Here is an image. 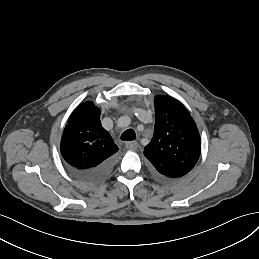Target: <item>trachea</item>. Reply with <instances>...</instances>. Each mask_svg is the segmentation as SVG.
I'll return each instance as SVG.
<instances>
[{
	"label": "trachea",
	"instance_id": "1",
	"mask_svg": "<svg viewBox=\"0 0 259 259\" xmlns=\"http://www.w3.org/2000/svg\"><path fill=\"white\" fill-rule=\"evenodd\" d=\"M136 139V134L133 129L125 130L121 135V140L123 141H132Z\"/></svg>",
	"mask_w": 259,
	"mask_h": 259
}]
</instances>
